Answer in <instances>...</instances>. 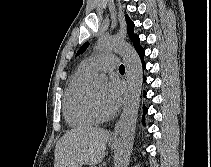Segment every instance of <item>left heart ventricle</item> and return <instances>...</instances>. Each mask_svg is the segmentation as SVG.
Here are the masks:
<instances>
[{"mask_svg": "<svg viewBox=\"0 0 211 167\" xmlns=\"http://www.w3.org/2000/svg\"><path fill=\"white\" fill-rule=\"evenodd\" d=\"M90 93L96 110L102 115H109L103 103V87L92 88Z\"/></svg>", "mask_w": 211, "mask_h": 167, "instance_id": "b2bd125f", "label": "left heart ventricle"}]
</instances>
